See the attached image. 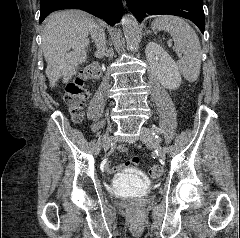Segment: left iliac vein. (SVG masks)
Listing matches in <instances>:
<instances>
[{"label": "left iliac vein", "instance_id": "left-iliac-vein-1", "mask_svg": "<svg viewBox=\"0 0 240 238\" xmlns=\"http://www.w3.org/2000/svg\"><path fill=\"white\" fill-rule=\"evenodd\" d=\"M140 139L148 147L155 148L161 158H165L168 148H166V150H161L160 145L154 136V131L151 128L143 126L141 128Z\"/></svg>", "mask_w": 240, "mask_h": 238}]
</instances>
